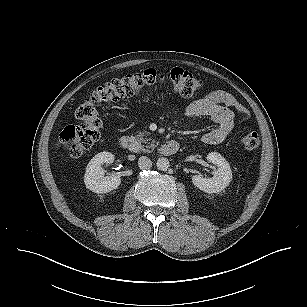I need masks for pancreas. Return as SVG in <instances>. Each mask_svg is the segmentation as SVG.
<instances>
[{"mask_svg":"<svg viewBox=\"0 0 307 307\" xmlns=\"http://www.w3.org/2000/svg\"><path fill=\"white\" fill-rule=\"evenodd\" d=\"M146 134H147V132L139 133V135L136 136V140L140 143L142 142V143L146 144L145 148H143V147L140 148L141 151L150 152V151L154 150L157 145L155 143V140H152L150 138H145L144 136Z\"/></svg>","mask_w":307,"mask_h":307,"instance_id":"cf45deb5","label":"pancreas"}]
</instances>
